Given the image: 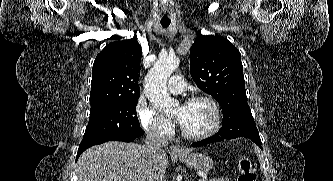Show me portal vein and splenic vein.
<instances>
[{"label":"portal vein and splenic vein","instance_id":"obj_1","mask_svg":"<svg viewBox=\"0 0 333 181\" xmlns=\"http://www.w3.org/2000/svg\"><path fill=\"white\" fill-rule=\"evenodd\" d=\"M200 181H207V179H204V178H203V179H202V180H200Z\"/></svg>","mask_w":333,"mask_h":181}]
</instances>
